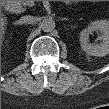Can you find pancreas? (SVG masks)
<instances>
[{
  "instance_id": "pancreas-1",
  "label": "pancreas",
  "mask_w": 109,
  "mask_h": 109,
  "mask_svg": "<svg viewBox=\"0 0 109 109\" xmlns=\"http://www.w3.org/2000/svg\"><path fill=\"white\" fill-rule=\"evenodd\" d=\"M22 4H23L24 6H29V7H31V6L34 5V2H33V1H22Z\"/></svg>"
}]
</instances>
